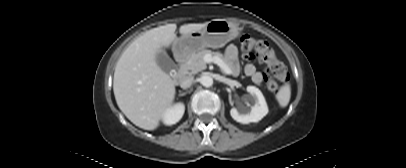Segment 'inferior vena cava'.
<instances>
[{
	"label": "inferior vena cava",
	"instance_id": "inferior-vena-cava-1",
	"mask_svg": "<svg viewBox=\"0 0 406 168\" xmlns=\"http://www.w3.org/2000/svg\"><path fill=\"white\" fill-rule=\"evenodd\" d=\"M193 80H194V77L192 75H187V76L183 77L180 82L181 88H183V89L189 88L192 85Z\"/></svg>",
	"mask_w": 406,
	"mask_h": 168
}]
</instances>
